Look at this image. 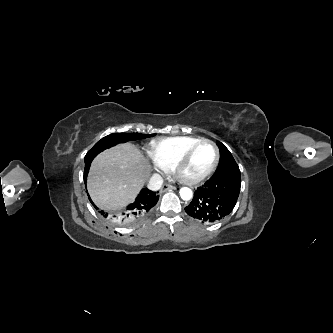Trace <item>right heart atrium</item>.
Masks as SVG:
<instances>
[{"label": "right heart atrium", "mask_w": 333, "mask_h": 333, "mask_svg": "<svg viewBox=\"0 0 333 333\" xmlns=\"http://www.w3.org/2000/svg\"><path fill=\"white\" fill-rule=\"evenodd\" d=\"M150 159L153 165V168L157 171H165V167L158 161L154 154H150Z\"/></svg>", "instance_id": "d8ad5b80"}]
</instances>
